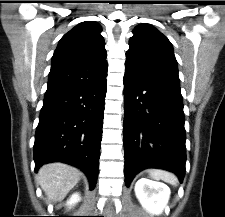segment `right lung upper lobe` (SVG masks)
<instances>
[{
	"label": "right lung upper lobe",
	"instance_id": "1",
	"mask_svg": "<svg viewBox=\"0 0 225 217\" xmlns=\"http://www.w3.org/2000/svg\"><path fill=\"white\" fill-rule=\"evenodd\" d=\"M101 31L97 22L85 21L60 39L46 93L88 86L106 78L108 64Z\"/></svg>",
	"mask_w": 225,
	"mask_h": 217
}]
</instances>
